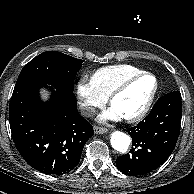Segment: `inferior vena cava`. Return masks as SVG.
Wrapping results in <instances>:
<instances>
[{
    "label": "inferior vena cava",
    "mask_w": 194,
    "mask_h": 194,
    "mask_svg": "<svg viewBox=\"0 0 194 194\" xmlns=\"http://www.w3.org/2000/svg\"><path fill=\"white\" fill-rule=\"evenodd\" d=\"M80 110H81V114L86 116V117L91 116V114H93L95 112L93 107L86 106V105H81Z\"/></svg>",
    "instance_id": "inferior-vena-cava-1"
}]
</instances>
